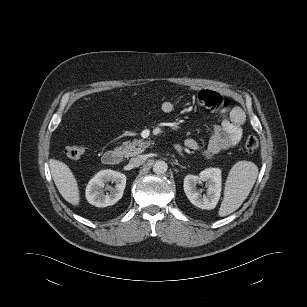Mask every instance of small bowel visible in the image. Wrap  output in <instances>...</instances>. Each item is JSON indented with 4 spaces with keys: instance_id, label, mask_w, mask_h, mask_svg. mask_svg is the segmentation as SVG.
I'll return each mask as SVG.
<instances>
[{
    "instance_id": "small-bowel-1",
    "label": "small bowel",
    "mask_w": 307,
    "mask_h": 307,
    "mask_svg": "<svg viewBox=\"0 0 307 307\" xmlns=\"http://www.w3.org/2000/svg\"><path fill=\"white\" fill-rule=\"evenodd\" d=\"M198 100L202 106L221 117L222 123L213 129L211 138L205 147H202L193 138L185 140V147L192 151H200L208 158H212L224 150L234 148L242 138V124L245 121V114L242 108L234 106L226 115L225 111L230 107V100L209 90L200 91ZM161 110L167 114L171 113L174 110L173 102H162Z\"/></svg>"
}]
</instances>
